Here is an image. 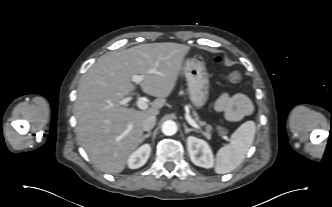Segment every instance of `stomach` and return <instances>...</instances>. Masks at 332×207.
<instances>
[{
  "instance_id": "stomach-1",
  "label": "stomach",
  "mask_w": 332,
  "mask_h": 207,
  "mask_svg": "<svg viewBox=\"0 0 332 207\" xmlns=\"http://www.w3.org/2000/svg\"><path fill=\"white\" fill-rule=\"evenodd\" d=\"M182 69L188 84L189 99L195 108L200 109L209 97V76L205 64L190 58L185 61Z\"/></svg>"
}]
</instances>
